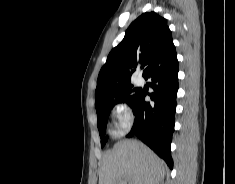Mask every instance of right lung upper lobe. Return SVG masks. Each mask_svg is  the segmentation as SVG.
<instances>
[{
	"instance_id": "right-lung-upper-lobe-1",
	"label": "right lung upper lobe",
	"mask_w": 235,
	"mask_h": 184,
	"mask_svg": "<svg viewBox=\"0 0 235 184\" xmlns=\"http://www.w3.org/2000/svg\"><path fill=\"white\" fill-rule=\"evenodd\" d=\"M175 52L166 19L155 12L140 15L128 27L124 39L113 48L100 70L95 106L111 103V90L130 85L131 76L141 65L143 77Z\"/></svg>"
}]
</instances>
